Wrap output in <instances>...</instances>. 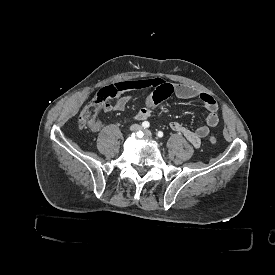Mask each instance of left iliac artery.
Listing matches in <instances>:
<instances>
[{"mask_svg":"<svg viewBox=\"0 0 275 275\" xmlns=\"http://www.w3.org/2000/svg\"><path fill=\"white\" fill-rule=\"evenodd\" d=\"M156 135H157V137L162 138L163 137V132L162 131H158L156 133Z\"/></svg>","mask_w":275,"mask_h":275,"instance_id":"obj_1","label":"left iliac artery"}]
</instances>
